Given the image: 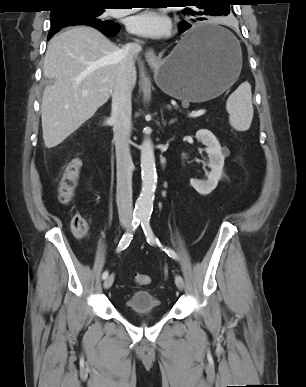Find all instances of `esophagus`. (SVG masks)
I'll list each match as a JSON object with an SVG mask.
<instances>
[{
    "mask_svg": "<svg viewBox=\"0 0 306 387\" xmlns=\"http://www.w3.org/2000/svg\"><path fill=\"white\" fill-rule=\"evenodd\" d=\"M145 59L147 63L151 66H154L159 62V57L156 55L155 51L152 48H148L145 51Z\"/></svg>",
    "mask_w": 306,
    "mask_h": 387,
    "instance_id": "34e87169",
    "label": "esophagus"
}]
</instances>
